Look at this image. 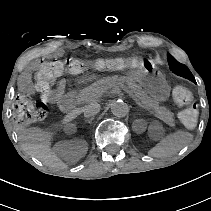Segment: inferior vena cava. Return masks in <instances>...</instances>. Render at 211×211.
Here are the masks:
<instances>
[{
    "label": "inferior vena cava",
    "instance_id": "602c4592",
    "mask_svg": "<svg viewBox=\"0 0 211 211\" xmlns=\"http://www.w3.org/2000/svg\"><path fill=\"white\" fill-rule=\"evenodd\" d=\"M101 104L98 102H93L85 107H83V114L85 118H91L100 112Z\"/></svg>",
    "mask_w": 211,
    "mask_h": 211
}]
</instances>
